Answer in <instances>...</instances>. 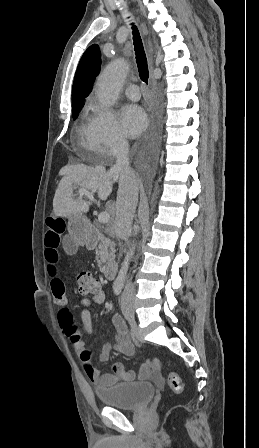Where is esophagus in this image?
<instances>
[{
  "label": "esophagus",
  "mask_w": 259,
  "mask_h": 448,
  "mask_svg": "<svg viewBox=\"0 0 259 448\" xmlns=\"http://www.w3.org/2000/svg\"><path fill=\"white\" fill-rule=\"evenodd\" d=\"M150 69H151L152 85H153V87H155L156 82H155V80H154V76H153L154 66H153V61H152V59H150Z\"/></svg>",
  "instance_id": "1"
}]
</instances>
